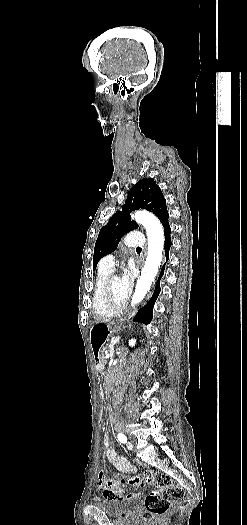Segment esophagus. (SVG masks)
I'll list each match as a JSON object with an SVG mask.
<instances>
[{"instance_id": "obj_1", "label": "esophagus", "mask_w": 247, "mask_h": 525, "mask_svg": "<svg viewBox=\"0 0 247 525\" xmlns=\"http://www.w3.org/2000/svg\"><path fill=\"white\" fill-rule=\"evenodd\" d=\"M138 270H139V273H142L145 270V267L143 265H140L138 267ZM134 315H135V312L132 314V316H134Z\"/></svg>"}]
</instances>
